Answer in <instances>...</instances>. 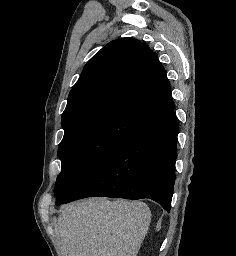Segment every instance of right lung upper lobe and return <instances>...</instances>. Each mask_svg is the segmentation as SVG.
<instances>
[{"mask_svg":"<svg viewBox=\"0 0 236 256\" xmlns=\"http://www.w3.org/2000/svg\"><path fill=\"white\" fill-rule=\"evenodd\" d=\"M173 109L166 71L157 54L134 38L111 41L84 67L62 114L67 129L111 112L149 122Z\"/></svg>","mask_w":236,"mask_h":256,"instance_id":"1","label":"right lung upper lobe"}]
</instances>
